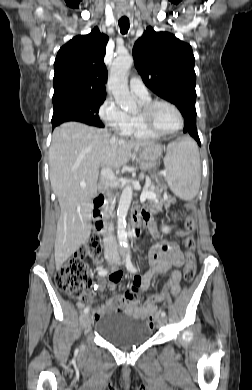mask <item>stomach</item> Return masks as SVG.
<instances>
[{"instance_id": "stomach-1", "label": "stomach", "mask_w": 252, "mask_h": 390, "mask_svg": "<svg viewBox=\"0 0 252 390\" xmlns=\"http://www.w3.org/2000/svg\"><path fill=\"white\" fill-rule=\"evenodd\" d=\"M136 152L138 153V163L140 167L143 170H149L157 164L162 151L157 147H145Z\"/></svg>"}]
</instances>
